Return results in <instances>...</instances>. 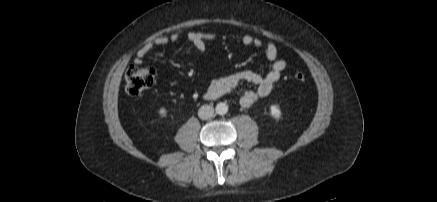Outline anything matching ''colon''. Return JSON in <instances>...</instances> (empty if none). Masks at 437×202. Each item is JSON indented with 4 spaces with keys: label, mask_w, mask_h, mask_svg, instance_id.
Returning a JSON list of instances; mask_svg holds the SVG:
<instances>
[{
    "label": "colon",
    "mask_w": 437,
    "mask_h": 202,
    "mask_svg": "<svg viewBox=\"0 0 437 202\" xmlns=\"http://www.w3.org/2000/svg\"><path fill=\"white\" fill-rule=\"evenodd\" d=\"M155 70L151 67L130 65L125 73V90L131 96H137L149 89L155 81ZM305 74L298 71L294 74L297 82L305 81Z\"/></svg>",
    "instance_id": "colon-1"
}]
</instances>
